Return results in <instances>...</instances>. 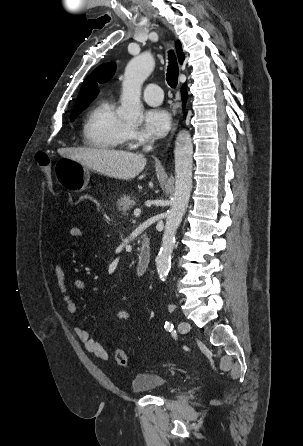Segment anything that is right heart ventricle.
Listing matches in <instances>:
<instances>
[{
    "label": "right heart ventricle",
    "mask_w": 303,
    "mask_h": 446,
    "mask_svg": "<svg viewBox=\"0 0 303 446\" xmlns=\"http://www.w3.org/2000/svg\"><path fill=\"white\" fill-rule=\"evenodd\" d=\"M126 124L116 114L110 97L102 98L87 113L82 128L83 143L97 149H115L124 142Z\"/></svg>",
    "instance_id": "obj_1"
}]
</instances>
